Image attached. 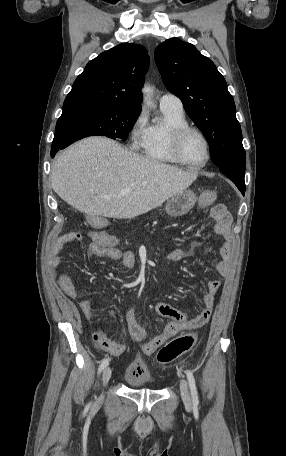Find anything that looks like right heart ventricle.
<instances>
[{
    "mask_svg": "<svg viewBox=\"0 0 286 456\" xmlns=\"http://www.w3.org/2000/svg\"><path fill=\"white\" fill-rule=\"evenodd\" d=\"M163 119L146 127L140 143L143 155L151 161L166 164H180L170 150V132L173 128L187 125L184 112L162 108Z\"/></svg>",
    "mask_w": 286,
    "mask_h": 456,
    "instance_id": "1",
    "label": "right heart ventricle"
}]
</instances>
